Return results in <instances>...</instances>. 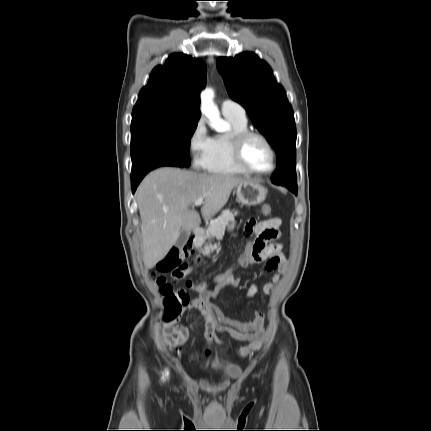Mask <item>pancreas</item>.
<instances>
[{"label": "pancreas", "instance_id": "pancreas-1", "mask_svg": "<svg viewBox=\"0 0 431 431\" xmlns=\"http://www.w3.org/2000/svg\"><path fill=\"white\" fill-rule=\"evenodd\" d=\"M237 214V211L233 213L229 209L223 210L216 219L210 222L209 228L207 229V235L221 239L224 235L226 226H228L230 222L234 221V216ZM214 249L215 247L206 244L201 251L203 254L209 255Z\"/></svg>", "mask_w": 431, "mask_h": 431}]
</instances>
